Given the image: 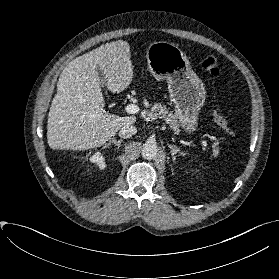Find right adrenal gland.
I'll use <instances>...</instances> for the list:
<instances>
[{"mask_svg": "<svg viewBox=\"0 0 279 279\" xmlns=\"http://www.w3.org/2000/svg\"><path fill=\"white\" fill-rule=\"evenodd\" d=\"M122 142H123V140H118L117 141L115 138H112L111 140H109L108 143L105 144V146H103V149L110 146L112 143L117 146V149H119Z\"/></svg>", "mask_w": 279, "mask_h": 279, "instance_id": "obj_1", "label": "right adrenal gland"}]
</instances>
